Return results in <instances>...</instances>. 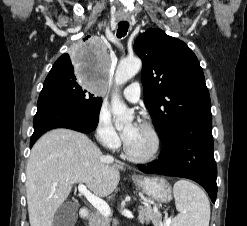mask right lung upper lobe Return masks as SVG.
Returning <instances> with one entry per match:
<instances>
[{
  "mask_svg": "<svg viewBox=\"0 0 247 226\" xmlns=\"http://www.w3.org/2000/svg\"><path fill=\"white\" fill-rule=\"evenodd\" d=\"M90 36H87L85 39H88ZM69 55L68 54H63L55 63L53 66H56L58 64H60L61 62H64L66 60H68Z\"/></svg>",
  "mask_w": 247,
  "mask_h": 226,
  "instance_id": "obj_1",
  "label": "right lung upper lobe"
}]
</instances>
